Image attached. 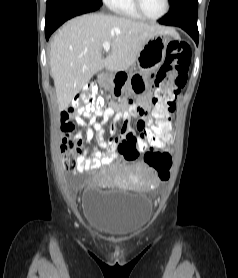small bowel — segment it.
Segmentation results:
<instances>
[{"label": "small bowel", "mask_w": 238, "mask_h": 278, "mask_svg": "<svg viewBox=\"0 0 238 278\" xmlns=\"http://www.w3.org/2000/svg\"><path fill=\"white\" fill-rule=\"evenodd\" d=\"M150 75L154 76L155 72L151 71ZM144 98H151V93H144ZM148 112V103L145 99H142L139 104H134L133 100H126L125 104L118 110L115 108H102L94 112L72 111V109L63 111L60 117L62 125L74 120L78 126L83 127L87 124L82 116L88 118L89 124L92 128L87 129L86 139L89 142L95 140L98 144V148L93 150L91 157L87 158L82 155L79 158V169L81 171H90L98 169L104 165H109L113 162L116 155L120 154L123 156V154L119 152V147L123 145V142H126V145L135 144L133 138H139V141H142L143 137L149 136L151 121L147 116ZM132 116L138 117L137 130L132 129L129 126V121ZM97 118H102V121H97ZM120 120L123 122L121 135L113 138L111 141H107L104 137V124L111 122L112 125L110 130L111 133L114 134L116 127L113 123ZM63 132L65 133V139L68 138L69 135L65 131ZM74 140L81 142L82 136L76 134ZM170 140L171 135L169 134L162 137L161 141L169 142ZM164 153L168 154L167 152ZM152 170L148 171L144 176V183L148 187L156 185L158 181Z\"/></svg>", "instance_id": "c3829d8e"}]
</instances>
